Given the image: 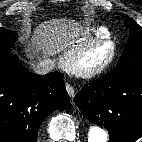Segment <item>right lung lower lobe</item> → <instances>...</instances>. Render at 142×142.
<instances>
[{
    "instance_id": "98d812e1",
    "label": "right lung lower lobe",
    "mask_w": 142,
    "mask_h": 142,
    "mask_svg": "<svg viewBox=\"0 0 142 142\" xmlns=\"http://www.w3.org/2000/svg\"><path fill=\"white\" fill-rule=\"evenodd\" d=\"M69 104L61 73L36 75L15 56H0V142H36L42 121Z\"/></svg>"
}]
</instances>
